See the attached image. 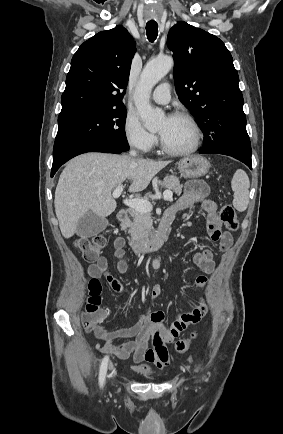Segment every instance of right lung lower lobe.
<instances>
[{
  "label": "right lung lower lobe",
  "mask_w": 283,
  "mask_h": 434,
  "mask_svg": "<svg viewBox=\"0 0 283 434\" xmlns=\"http://www.w3.org/2000/svg\"><path fill=\"white\" fill-rule=\"evenodd\" d=\"M86 152H104V153L119 154V153L123 152V150H121L115 146L105 144V143H94V144H87V145L79 146V147L69 151L68 153H66L62 157H60L56 160H53L51 177H53L54 174L56 173V171L60 168V166H62L68 160H70L71 158H73L77 155H80V154H83Z\"/></svg>",
  "instance_id": "98d812e1"
}]
</instances>
